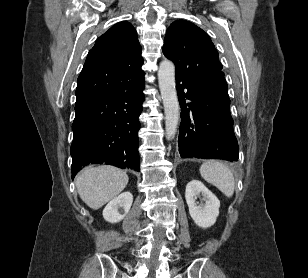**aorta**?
Instances as JSON below:
<instances>
[{"label":"aorta","mask_w":308,"mask_h":278,"mask_svg":"<svg viewBox=\"0 0 308 278\" xmlns=\"http://www.w3.org/2000/svg\"><path fill=\"white\" fill-rule=\"evenodd\" d=\"M158 81L165 112V130L168 140L174 138L179 120V102L175 86V66L169 60L160 63Z\"/></svg>","instance_id":"1"}]
</instances>
